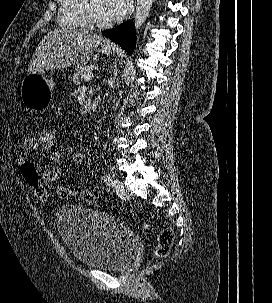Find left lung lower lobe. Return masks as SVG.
I'll return each mask as SVG.
<instances>
[{"mask_svg":"<svg viewBox=\"0 0 272 303\" xmlns=\"http://www.w3.org/2000/svg\"><path fill=\"white\" fill-rule=\"evenodd\" d=\"M112 41L119 44L125 49L130 55L133 53L135 48V27L134 23L129 20L118 27L103 32Z\"/></svg>","mask_w":272,"mask_h":303,"instance_id":"obj_1","label":"left lung lower lobe"}]
</instances>
